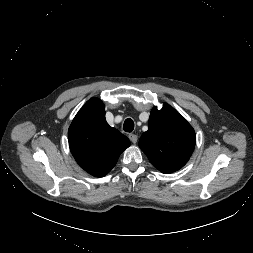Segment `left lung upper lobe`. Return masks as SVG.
<instances>
[{
	"instance_id": "5c2ea615",
	"label": "left lung upper lobe",
	"mask_w": 253,
	"mask_h": 253,
	"mask_svg": "<svg viewBox=\"0 0 253 253\" xmlns=\"http://www.w3.org/2000/svg\"><path fill=\"white\" fill-rule=\"evenodd\" d=\"M196 135L191 125L169 104L153 108L149 129L139 140L141 150L162 173L182 168L193 153Z\"/></svg>"
}]
</instances>
